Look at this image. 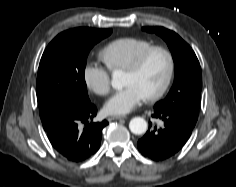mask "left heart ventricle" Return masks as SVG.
<instances>
[{
    "label": "left heart ventricle",
    "instance_id": "b2bd125f",
    "mask_svg": "<svg viewBox=\"0 0 236 187\" xmlns=\"http://www.w3.org/2000/svg\"><path fill=\"white\" fill-rule=\"evenodd\" d=\"M167 66V59L164 54L153 53L138 73L125 72L124 86L133 85L144 97L150 95L163 84L167 74Z\"/></svg>",
    "mask_w": 236,
    "mask_h": 187
}]
</instances>
